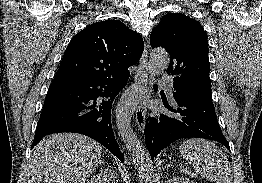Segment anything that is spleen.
Wrapping results in <instances>:
<instances>
[{
    "label": "spleen",
    "instance_id": "3e777b00",
    "mask_svg": "<svg viewBox=\"0 0 262 183\" xmlns=\"http://www.w3.org/2000/svg\"><path fill=\"white\" fill-rule=\"evenodd\" d=\"M179 152L196 172L214 183H232L233 176L224 152L214 143L201 138L184 141Z\"/></svg>",
    "mask_w": 262,
    "mask_h": 183
}]
</instances>
